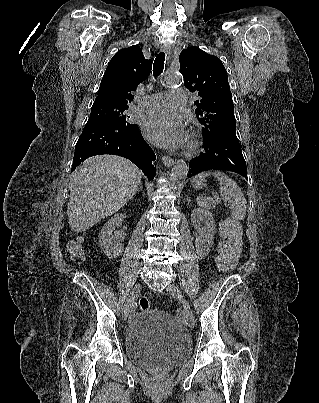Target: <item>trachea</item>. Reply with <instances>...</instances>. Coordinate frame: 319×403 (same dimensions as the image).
<instances>
[{
  "label": "trachea",
  "instance_id": "1",
  "mask_svg": "<svg viewBox=\"0 0 319 403\" xmlns=\"http://www.w3.org/2000/svg\"><path fill=\"white\" fill-rule=\"evenodd\" d=\"M164 61H165V53L164 52H160L156 58H155V62L153 65V74L155 77L159 76L163 69H164Z\"/></svg>",
  "mask_w": 319,
  "mask_h": 403
}]
</instances>
